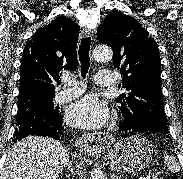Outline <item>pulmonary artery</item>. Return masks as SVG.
<instances>
[{"mask_svg": "<svg viewBox=\"0 0 183 179\" xmlns=\"http://www.w3.org/2000/svg\"><path fill=\"white\" fill-rule=\"evenodd\" d=\"M95 82L102 87L111 86L113 84V74L107 70L99 71L95 76ZM65 84L69 86V88L56 93L54 100L57 103H64L72 100L84 92L85 87L83 83L77 80L69 79L65 81Z\"/></svg>", "mask_w": 183, "mask_h": 179, "instance_id": "e3ab8cb5", "label": "pulmonary artery"}]
</instances>
